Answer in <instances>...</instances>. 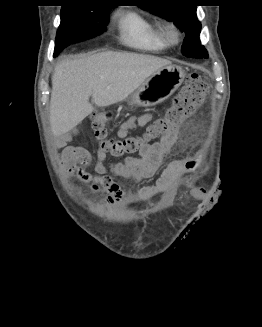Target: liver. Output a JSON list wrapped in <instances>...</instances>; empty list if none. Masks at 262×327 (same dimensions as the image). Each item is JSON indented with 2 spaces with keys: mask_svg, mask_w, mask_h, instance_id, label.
Listing matches in <instances>:
<instances>
[{
  "mask_svg": "<svg viewBox=\"0 0 262 327\" xmlns=\"http://www.w3.org/2000/svg\"><path fill=\"white\" fill-rule=\"evenodd\" d=\"M171 62L151 55L101 52L63 60L52 76L50 126L61 136L98 107L123 101L154 72Z\"/></svg>",
  "mask_w": 262,
  "mask_h": 327,
  "instance_id": "obj_1",
  "label": "liver"
}]
</instances>
